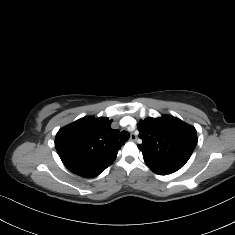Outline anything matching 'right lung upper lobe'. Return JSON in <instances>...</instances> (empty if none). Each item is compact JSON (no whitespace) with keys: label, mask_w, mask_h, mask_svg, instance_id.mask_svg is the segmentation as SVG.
I'll use <instances>...</instances> for the list:
<instances>
[{"label":"right lung upper lobe","mask_w":235,"mask_h":235,"mask_svg":"<svg viewBox=\"0 0 235 235\" xmlns=\"http://www.w3.org/2000/svg\"><path fill=\"white\" fill-rule=\"evenodd\" d=\"M107 117L81 118L56 134L55 148L63 164L74 174L92 178L103 172L117 157L124 143Z\"/></svg>","instance_id":"right-lung-upper-lobe-1"}]
</instances>
